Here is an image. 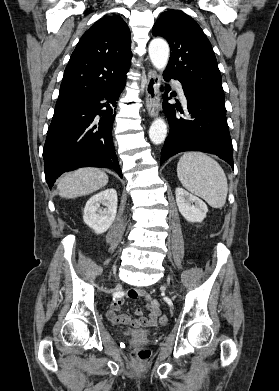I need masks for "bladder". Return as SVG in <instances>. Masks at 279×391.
<instances>
[{
	"label": "bladder",
	"mask_w": 279,
	"mask_h": 391,
	"mask_svg": "<svg viewBox=\"0 0 279 391\" xmlns=\"http://www.w3.org/2000/svg\"><path fill=\"white\" fill-rule=\"evenodd\" d=\"M154 332L146 330H125L121 332V335L127 339L143 342L154 336Z\"/></svg>",
	"instance_id": "obj_1"
}]
</instances>
